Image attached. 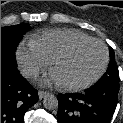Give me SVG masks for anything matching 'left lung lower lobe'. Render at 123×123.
Instances as JSON below:
<instances>
[{
	"instance_id": "1",
	"label": "left lung lower lobe",
	"mask_w": 123,
	"mask_h": 123,
	"mask_svg": "<svg viewBox=\"0 0 123 123\" xmlns=\"http://www.w3.org/2000/svg\"><path fill=\"white\" fill-rule=\"evenodd\" d=\"M119 87L95 84L84 93L58 95V123H109Z\"/></svg>"
}]
</instances>
